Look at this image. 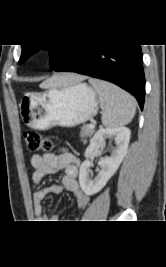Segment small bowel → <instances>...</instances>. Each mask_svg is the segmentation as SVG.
<instances>
[{
    "label": "small bowel",
    "mask_w": 166,
    "mask_h": 267,
    "mask_svg": "<svg viewBox=\"0 0 166 267\" xmlns=\"http://www.w3.org/2000/svg\"><path fill=\"white\" fill-rule=\"evenodd\" d=\"M30 162L33 168L32 180L35 184H40L47 175L63 171L61 184L40 188L33 194L34 213L37 220L49 219L52 222H59L57 216L47 217L42 205V201L51 193L59 194L64 190L71 192L76 197L79 209L83 210L88 206L90 198L80 188L78 181L79 161L72 153L63 151L59 154H35L31 157Z\"/></svg>",
    "instance_id": "obj_1"
}]
</instances>
